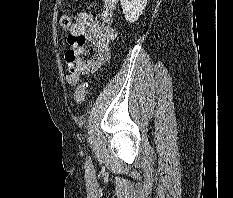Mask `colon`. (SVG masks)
<instances>
[{"label":"colon","mask_w":233,"mask_h":198,"mask_svg":"<svg viewBox=\"0 0 233 198\" xmlns=\"http://www.w3.org/2000/svg\"><path fill=\"white\" fill-rule=\"evenodd\" d=\"M60 26L61 28H63L64 30H68L71 25H72V20L69 16H62L60 18ZM67 68H68V72L70 73H74L77 70V65L75 63V57L72 53H68L67 54ZM86 85L85 84H79L74 92V100L77 104H81L85 101L86 98Z\"/></svg>","instance_id":"colon-1"}]
</instances>
